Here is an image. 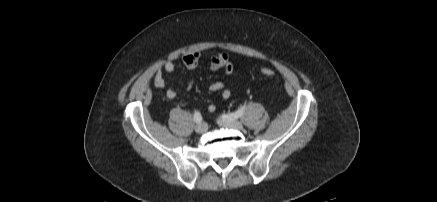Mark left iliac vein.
<instances>
[{
    "label": "left iliac vein",
    "mask_w": 437,
    "mask_h": 202,
    "mask_svg": "<svg viewBox=\"0 0 437 202\" xmlns=\"http://www.w3.org/2000/svg\"><path fill=\"white\" fill-rule=\"evenodd\" d=\"M218 124L222 127H226L229 129H236V130L243 129V124L240 121H227L224 119H219Z\"/></svg>",
    "instance_id": "left-iliac-vein-1"
}]
</instances>
